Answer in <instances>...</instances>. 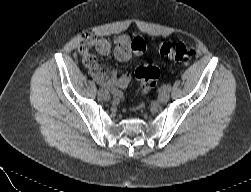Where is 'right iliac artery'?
I'll return each mask as SVG.
<instances>
[{"label":"right iliac artery","instance_id":"obj_1","mask_svg":"<svg viewBox=\"0 0 251 192\" xmlns=\"http://www.w3.org/2000/svg\"><path fill=\"white\" fill-rule=\"evenodd\" d=\"M103 92H104V91H103V89H102V88H101V89H99V90H98V95H99V96H101V95L103 94Z\"/></svg>","mask_w":251,"mask_h":192}]
</instances>
